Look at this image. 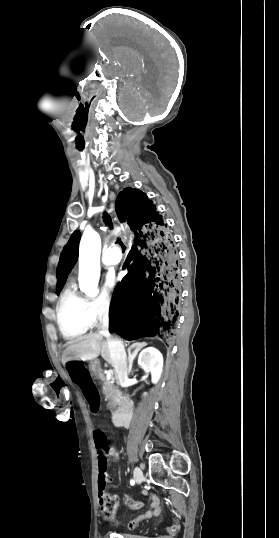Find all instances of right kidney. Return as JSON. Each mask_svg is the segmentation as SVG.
Segmentation results:
<instances>
[{
  "label": "right kidney",
  "mask_w": 279,
  "mask_h": 538,
  "mask_svg": "<svg viewBox=\"0 0 279 538\" xmlns=\"http://www.w3.org/2000/svg\"><path fill=\"white\" fill-rule=\"evenodd\" d=\"M138 364L144 372H150L152 384H157L161 378L163 356L156 348H145L139 354Z\"/></svg>",
  "instance_id": "ca27d5eb"
}]
</instances>
